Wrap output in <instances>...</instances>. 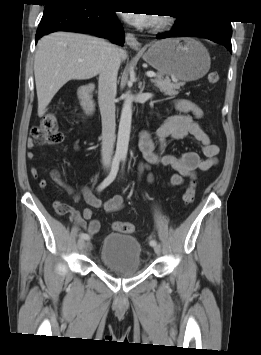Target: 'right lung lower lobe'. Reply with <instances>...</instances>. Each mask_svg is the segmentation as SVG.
I'll list each match as a JSON object with an SVG mask.
<instances>
[{
	"label": "right lung lower lobe",
	"instance_id": "right-lung-lower-lobe-1",
	"mask_svg": "<svg viewBox=\"0 0 261 355\" xmlns=\"http://www.w3.org/2000/svg\"><path fill=\"white\" fill-rule=\"evenodd\" d=\"M35 42L47 33L69 31L93 34L123 46L124 31L115 12L87 0L45 1Z\"/></svg>",
	"mask_w": 261,
	"mask_h": 355
}]
</instances>
